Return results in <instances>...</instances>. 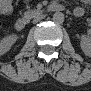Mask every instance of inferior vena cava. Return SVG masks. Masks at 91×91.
<instances>
[{
    "label": "inferior vena cava",
    "mask_w": 91,
    "mask_h": 91,
    "mask_svg": "<svg viewBox=\"0 0 91 91\" xmlns=\"http://www.w3.org/2000/svg\"><path fill=\"white\" fill-rule=\"evenodd\" d=\"M44 16L43 15H40L38 17H36L34 20H33V23H37L38 21H40L41 19H43Z\"/></svg>",
    "instance_id": "602c4592"
}]
</instances>
